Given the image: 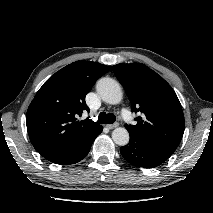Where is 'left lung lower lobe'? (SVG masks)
<instances>
[{
	"label": "left lung lower lobe",
	"instance_id": "1",
	"mask_svg": "<svg viewBox=\"0 0 213 213\" xmlns=\"http://www.w3.org/2000/svg\"><path fill=\"white\" fill-rule=\"evenodd\" d=\"M126 161L136 167L154 168L166 161L171 152L150 147L130 135V142L120 148Z\"/></svg>",
	"mask_w": 213,
	"mask_h": 213
}]
</instances>
